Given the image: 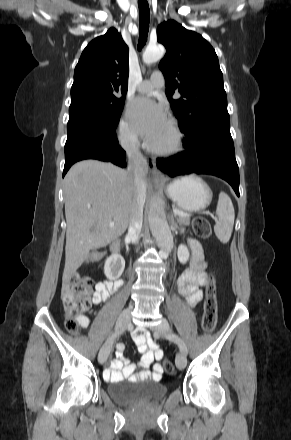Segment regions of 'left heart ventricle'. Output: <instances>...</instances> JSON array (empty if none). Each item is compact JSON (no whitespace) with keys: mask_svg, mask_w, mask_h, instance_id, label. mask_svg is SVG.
<instances>
[{"mask_svg":"<svg viewBox=\"0 0 291 440\" xmlns=\"http://www.w3.org/2000/svg\"><path fill=\"white\" fill-rule=\"evenodd\" d=\"M173 136L168 125L151 143L156 146L166 147L172 142Z\"/></svg>","mask_w":291,"mask_h":440,"instance_id":"1","label":"left heart ventricle"}]
</instances>
